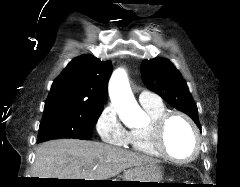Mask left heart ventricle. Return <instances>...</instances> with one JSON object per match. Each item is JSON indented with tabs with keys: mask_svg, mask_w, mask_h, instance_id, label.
<instances>
[{
	"mask_svg": "<svg viewBox=\"0 0 240 187\" xmlns=\"http://www.w3.org/2000/svg\"><path fill=\"white\" fill-rule=\"evenodd\" d=\"M195 140L189 125L180 117L170 119L165 130V147L179 159L189 158L194 152Z\"/></svg>",
	"mask_w": 240,
	"mask_h": 187,
	"instance_id": "1",
	"label": "left heart ventricle"
}]
</instances>
